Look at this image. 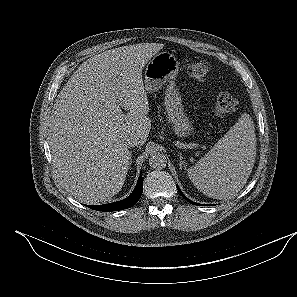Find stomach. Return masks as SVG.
Segmentation results:
<instances>
[{"label":"stomach","instance_id":"obj_1","mask_svg":"<svg viewBox=\"0 0 297 297\" xmlns=\"http://www.w3.org/2000/svg\"><path fill=\"white\" fill-rule=\"evenodd\" d=\"M179 72L177 58L169 52H160L153 56L145 67L144 84L149 93L156 92L166 82L169 86L166 89L164 106L168 120L179 137H186L193 132V124L185 114L181 99L175 88L174 79Z\"/></svg>","mask_w":297,"mask_h":297}]
</instances>
